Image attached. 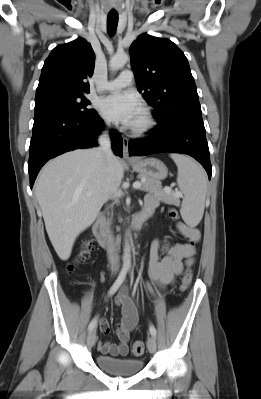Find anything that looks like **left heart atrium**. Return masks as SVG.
Listing matches in <instances>:
<instances>
[{"mask_svg": "<svg viewBox=\"0 0 261 399\" xmlns=\"http://www.w3.org/2000/svg\"><path fill=\"white\" fill-rule=\"evenodd\" d=\"M98 107L103 116L126 126L135 125L143 113L139 100L130 92L112 93L102 98Z\"/></svg>", "mask_w": 261, "mask_h": 399, "instance_id": "obj_1", "label": "left heart atrium"}]
</instances>
